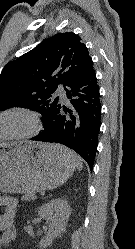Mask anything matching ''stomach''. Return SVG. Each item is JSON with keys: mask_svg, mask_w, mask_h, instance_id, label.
Listing matches in <instances>:
<instances>
[{"mask_svg": "<svg viewBox=\"0 0 135 249\" xmlns=\"http://www.w3.org/2000/svg\"><path fill=\"white\" fill-rule=\"evenodd\" d=\"M58 147L38 142L0 144V191L34 193L63 184L75 164Z\"/></svg>", "mask_w": 135, "mask_h": 249, "instance_id": "1", "label": "stomach"}]
</instances>
